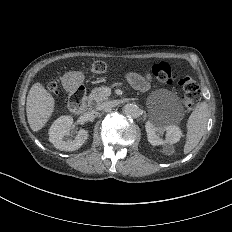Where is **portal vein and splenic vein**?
<instances>
[{
	"label": "portal vein and splenic vein",
	"mask_w": 232,
	"mask_h": 232,
	"mask_svg": "<svg viewBox=\"0 0 232 232\" xmlns=\"http://www.w3.org/2000/svg\"><path fill=\"white\" fill-rule=\"evenodd\" d=\"M105 93H106L107 95H110V94H111V89H110V88H106V89H105Z\"/></svg>",
	"instance_id": "portal-vein-and-splenic-vein-1"
}]
</instances>
